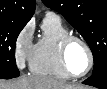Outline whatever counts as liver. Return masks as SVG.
Here are the masks:
<instances>
[{
	"label": "liver",
	"mask_w": 107,
	"mask_h": 89,
	"mask_svg": "<svg viewBox=\"0 0 107 89\" xmlns=\"http://www.w3.org/2000/svg\"><path fill=\"white\" fill-rule=\"evenodd\" d=\"M0 89H82L76 85L67 84L64 81L44 75H32L20 77L17 80L1 81Z\"/></svg>",
	"instance_id": "liver-1"
}]
</instances>
